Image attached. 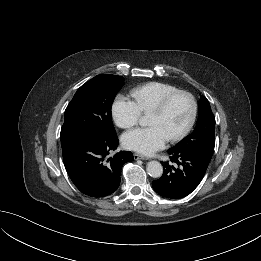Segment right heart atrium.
<instances>
[{"mask_svg": "<svg viewBox=\"0 0 261 261\" xmlns=\"http://www.w3.org/2000/svg\"><path fill=\"white\" fill-rule=\"evenodd\" d=\"M142 111L137 102L124 95H119L112 105V117L115 123L121 128H130L135 126Z\"/></svg>", "mask_w": 261, "mask_h": 261, "instance_id": "obj_1", "label": "right heart atrium"}]
</instances>
